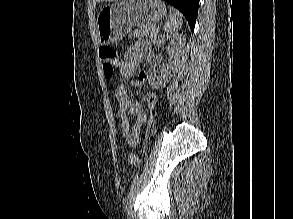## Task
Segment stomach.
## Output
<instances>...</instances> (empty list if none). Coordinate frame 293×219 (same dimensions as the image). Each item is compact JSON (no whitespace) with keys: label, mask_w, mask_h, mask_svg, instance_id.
<instances>
[{"label":"stomach","mask_w":293,"mask_h":219,"mask_svg":"<svg viewBox=\"0 0 293 219\" xmlns=\"http://www.w3.org/2000/svg\"><path fill=\"white\" fill-rule=\"evenodd\" d=\"M167 14L162 0H122L103 7L97 15V32L101 45L123 39L133 26L158 22Z\"/></svg>","instance_id":"stomach-1"}]
</instances>
